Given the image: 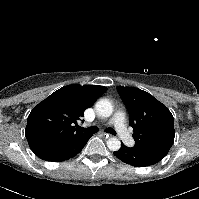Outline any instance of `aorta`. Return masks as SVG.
<instances>
[{
  "label": "aorta",
  "instance_id": "aorta-1",
  "mask_svg": "<svg viewBox=\"0 0 199 199\" xmlns=\"http://www.w3.org/2000/svg\"><path fill=\"white\" fill-rule=\"evenodd\" d=\"M96 112L99 116L107 118L113 113V105L107 99L99 100L95 105ZM107 147L111 151H117L121 147V142L119 139L113 137L107 140Z\"/></svg>",
  "mask_w": 199,
  "mask_h": 199
}]
</instances>
